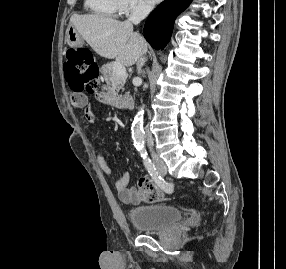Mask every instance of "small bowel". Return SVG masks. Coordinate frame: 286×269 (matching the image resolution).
I'll return each instance as SVG.
<instances>
[{"instance_id": "small-bowel-1", "label": "small bowel", "mask_w": 286, "mask_h": 269, "mask_svg": "<svg viewBox=\"0 0 286 269\" xmlns=\"http://www.w3.org/2000/svg\"><path fill=\"white\" fill-rule=\"evenodd\" d=\"M99 93H110V88H99ZM94 99H121V94H94ZM71 104L75 109H83L84 117L87 123L91 124L95 120V113L93 109L87 104L86 96L83 92L73 91L71 95ZM89 134L94 141H96L100 148L97 152L96 159L100 169L106 175H113L114 170L109 165L106 157V146L104 138L94 130H89ZM129 173L124 172L120 174L115 180V189L118 197L127 203H138L141 200L139 191L134 187H129ZM165 192H170L171 187H163Z\"/></svg>"}]
</instances>
